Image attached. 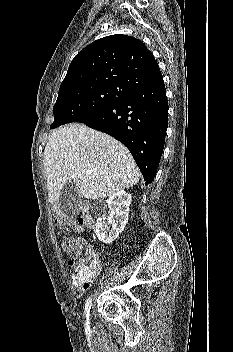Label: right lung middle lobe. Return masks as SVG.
I'll return each mask as SVG.
<instances>
[{"label":"right lung middle lobe","mask_w":233,"mask_h":352,"mask_svg":"<svg viewBox=\"0 0 233 352\" xmlns=\"http://www.w3.org/2000/svg\"><path fill=\"white\" fill-rule=\"evenodd\" d=\"M132 92L120 85H102L78 88L58 95L53 107L54 122L50 129L88 118L126 98Z\"/></svg>","instance_id":"dd1d6c3e"}]
</instances>
